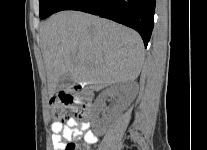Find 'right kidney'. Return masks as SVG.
<instances>
[{
  "label": "right kidney",
  "mask_w": 207,
  "mask_h": 150,
  "mask_svg": "<svg viewBox=\"0 0 207 150\" xmlns=\"http://www.w3.org/2000/svg\"><path fill=\"white\" fill-rule=\"evenodd\" d=\"M125 91V88L121 85H115L111 88L110 90V94L112 96H118L120 95L121 92H124ZM103 100V96H100L97 100H96V107H98L101 102ZM127 106V102L126 101H122V102H118V105H117V111L118 112H122Z\"/></svg>",
  "instance_id": "ca27d5eb"
}]
</instances>
